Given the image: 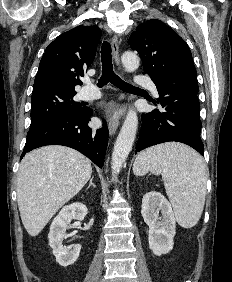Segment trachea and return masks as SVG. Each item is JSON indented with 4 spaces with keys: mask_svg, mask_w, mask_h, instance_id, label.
<instances>
[{
    "mask_svg": "<svg viewBox=\"0 0 232 282\" xmlns=\"http://www.w3.org/2000/svg\"><path fill=\"white\" fill-rule=\"evenodd\" d=\"M101 62H102V76L98 81V87H103L108 82H110L114 86L118 87L123 91L137 89V87L132 86L129 83L123 81L113 71L111 46L107 41H104L101 47Z\"/></svg>",
    "mask_w": 232,
    "mask_h": 282,
    "instance_id": "3493384b",
    "label": "trachea"
}]
</instances>
